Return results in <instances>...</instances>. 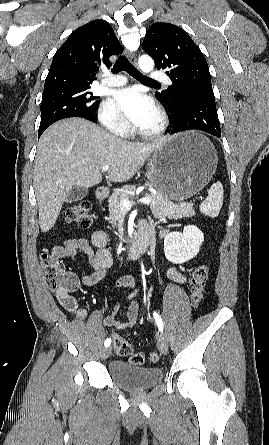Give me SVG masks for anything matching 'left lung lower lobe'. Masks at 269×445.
I'll return each instance as SVG.
<instances>
[{"instance_id":"1","label":"left lung lower lobe","mask_w":269,"mask_h":445,"mask_svg":"<svg viewBox=\"0 0 269 445\" xmlns=\"http://www.w3.org/2000/svg\"><path fill=\"white\" fill-rule=\"evenodd\" d=\"M172 112L175 126L171 134L186 130H201L220 137V123L213 93L194 92L183 95Z\"/></svg>"}]
</instances>
